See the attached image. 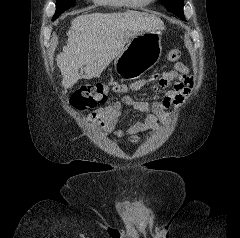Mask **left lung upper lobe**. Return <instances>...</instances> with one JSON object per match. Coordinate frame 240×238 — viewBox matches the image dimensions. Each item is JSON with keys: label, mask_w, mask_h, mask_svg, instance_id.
Masks as SVG:
<instances>
[{"label": "left lung upper lobe", "mask_w": 240, "mask_h": 238, "mask_svg": "<svg viewBox=\"0 0 240 238\" xmlns=\"http://www.w3.org/2000/svg\"><path fill=\"white\" fill-rule=\"evenodd\" d=\"M166 9L174 13L176 16L185 20L184 13H183V0H162Z\"/></svg>", "instance_id": "obj_1"}]
</instances>
